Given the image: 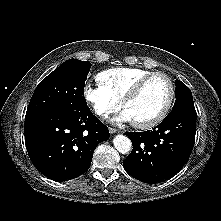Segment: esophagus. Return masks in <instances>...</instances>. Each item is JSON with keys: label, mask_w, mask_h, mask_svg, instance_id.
Masks as SVG:
<instances>
[{"label": "esophagus", "mask_w": 221, "mask_h": 221, "mask_svg": "<svg viewBox=\"0 0 221 221\" xmlns=\"http://www.w3.org/2000/svg\"><path fill=\"white\" fill-rule=\"evenodd\" d=\"M109 132H110L111 134H114V133L119 132V130L116 129V128H112V127H110V128H109Z\"/></svg>", "instance_id": "esophagus-1"}]
</instances>
